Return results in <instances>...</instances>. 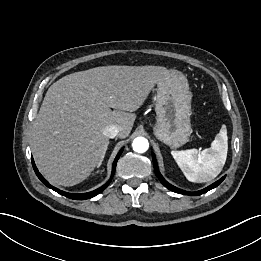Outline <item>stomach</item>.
Returning <instances> with one entry per match:
<instances>
[{
	"mask_svg": "<svg viewBox=\"0 0 261 261\" xmlns=\"http://www.w3.org/2000/svg\"><path fill=\"white\" fill-rule=\"evenodd\" d=\"M155 111L153 131L158 140L171 148L189 141L192 133L191 96L188 81L181 72L172 70L157 83Z\"/></svg>",
	"mask_w": 261,
	"mask_h": 261,
	"instance_id": "stomach-1",
	"label": "stomach"
}]
</instances>
